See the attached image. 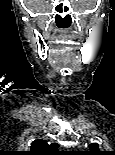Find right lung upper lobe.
<instances>
[{"label":"right lung upper lobe","mask_w":115,"mask_h":155,"mask_svg":"<svg viewBox=\"0 0 115 155\" xmlns=\"http://www.w3.org/2000/svg\"><path fill=\"white\" fill-rule=\"evenodd\" d=\"M27 155H59L57 143L48 144L42 139L31 143V149Z\"/></svg>","instance_id":"right-lung-upper-lobe-1"}]
</instances>
